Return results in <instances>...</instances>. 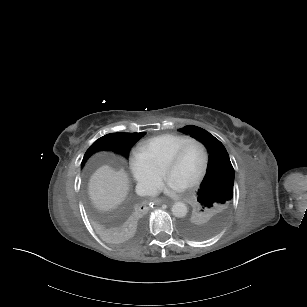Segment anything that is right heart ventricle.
I'll return each instance as SVG.
<instances>
[{
    "label": "right heart ventricle",
    "mask_w": 307,
    "mask_h": 307,
    "mask_svg": "<svg viewBox=\"0 0 307 307\" xmlns=\"http://www.w3.org/2000/svg\"><path fill=\"white\" fill-rule=\"evenodd\" d=\"M191 138L186 134L166 133L155 138L140 140L134 146L145 149L156 161L163 163L168 156Z\"/></svg>",
    "instance_id": "1"
}]
</instances>
